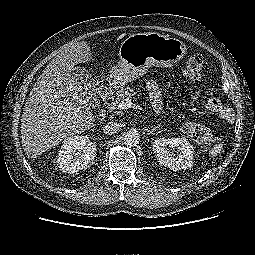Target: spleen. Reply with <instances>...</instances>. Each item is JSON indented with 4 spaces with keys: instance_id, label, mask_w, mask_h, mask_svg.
Segmentation results:
<instances>
[{
    "instance_id": "3e777b00",
    "label": "spleen",
    "mask_w": 255,
    "mask_h": 255,
    "mask_svg": "<svg viewBox=\"0 0 255 255\" xmlns=\"http://www.w3.org/2000/svg\"><path fill=\"white\" fill-rule=\"evenodd\" d=\"M222 150L223 143L215 144L210 151V157H216Z\"/></svg>"
}]
</instances>
